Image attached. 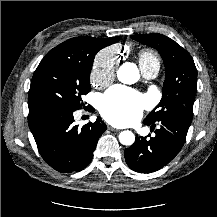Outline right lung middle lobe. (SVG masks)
<instances>
[{"label":"right lung middle lobe","instance_id":"obj_1","mask_svg":"<svg viewBox=\"0 0 217 217\" xmlns=\"http://www.w3.org/2000/svg\"><path fill=\"white\" fill-rule=\"evenodd\" d=\"M98 48L86 53L50 51L34 72L28 94L29 113L46 109L76 111L90 92V72Z\"/></svg>","mask_w":217,"mask_h":217}]
</instances>
